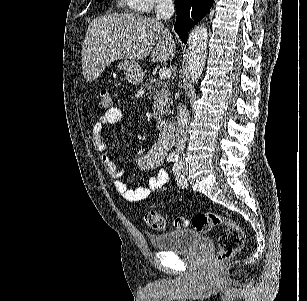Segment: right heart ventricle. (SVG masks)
<instances>
[{
  "label": "right heart ventricle",
  "mask_w": 307,
  "mask_h": 301,
  "mask_svg": "<svg viewBox=\"0 0 307 301\" xmlns=\"http://www.w3.org/2000/svg\"><path fill=\"white\" fill-rule=\"evenodd\" d=\"M139 0H123V4H129V8H138Z\"/></svg>",
  "instance_id": "1"
}]
</instances>
